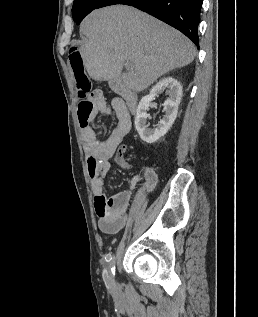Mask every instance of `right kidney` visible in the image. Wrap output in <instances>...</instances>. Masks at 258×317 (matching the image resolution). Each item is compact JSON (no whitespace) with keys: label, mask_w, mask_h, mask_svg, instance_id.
<instances>
[{"label":"right kidney","mask_w":258,"mask_h":317,"mask_svg":"<svg viewBox=\"0 0 258 317\" xmlns=\"http://www.w3.org/2000/svg\"><path fill=\"white\" fill-rule=\"evenodd\" d=\"M161 90H166V94H169V98L164 100V112L163 118H161L158 126L156 128H148L149 124H147V112L148 106L161 92ZM182 96V86L176 78L173 76H166V78H161L153 88H151L149 94L146 96H142L136 110L135 116V126L136 130H138L142 140L145 142H156L160 136H164L167 130H169L170 126H172L178 112V106L180 104Z\"/></svg>","instance_id":"obj_1"}]
</instances>
